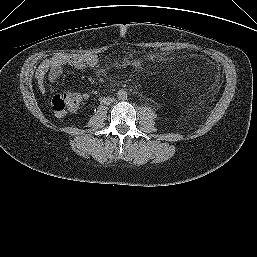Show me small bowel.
Returning <instances> with one entry per match:
<instances>
[{"label": "small bowel", "instance_id": "1", "mask_svg": "<svg viewBox=\"0 0 257 257\" xmlns=\"http://www.w3.org/2000/svg\"><path fill=\"white\" fill-rule=\"evenodd\" d=\"M98 65V57L94 54H78V55H65L56 54L40 63L36 70V81L42 93L45 92V80L48 79L50 83H55L63 73L65 66H71L75 69H88L95 68ZM88 97V94H84ZM62 116V115H58Z\"/></svg>", "mask_w": 257, "mask_h": 257}]
</instances>
